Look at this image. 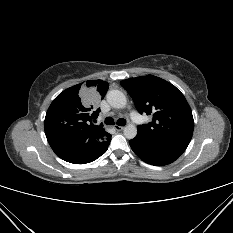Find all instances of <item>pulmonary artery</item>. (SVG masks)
<instances>
[{
    "mask_svg": "<svg viewBox=\"0 0 233 233\" xmlns=\"http://www.w3.org/2000/svg\"><path fill=\"white\" fill-rule=\"evenodd\" d=\"M130 115L135 122H140V116L135 111H131Z\"/></svg>",
    "mask_w": 233,
    "mask_h": 233,
    "instance_id": "pulmonary-artery-1",
    "label": "pulmonary artery"
}]
</instances>
